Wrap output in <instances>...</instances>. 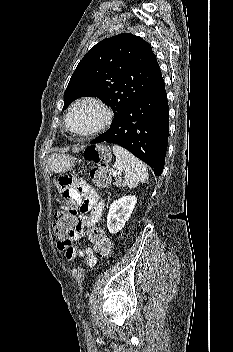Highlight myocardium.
Wrapping results in <instances>:
<instances>
[{
	"label": "myocardium",
	"mask_w": 233,
	"mask_h": 352,
	"mask_svg": "<svg viewBox=\"0 0 233 352\" xmlns=\"http://www.w3.org/2000/svg\"><path fill=\"white\" fill-rule=\"evenodd\" d=\"M84 104H91L96 106L101 111V118L90 129L86 131H78V130H75L71 125V115L77 107ZM112 118H113L112 111L104 101H102L97 97L85 96L76 100L68 109V112L66 114V127L71 133H73L76 136L89 137L103 131L106 127H108L112 121Z\"/></svg>",
	"instance_id": "myocardium-1"
}]
</instances>
